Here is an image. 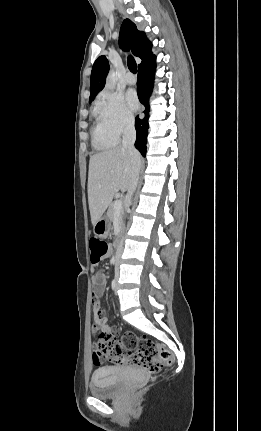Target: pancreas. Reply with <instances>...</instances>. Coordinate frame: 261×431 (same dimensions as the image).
<instances>
[{
    "label": "pancreas",
    "mask_w": 261,
    "mask_h": 431,
    "mask_svg": "<svg viewBox=\"0 0 261 431\" xmlns=\"http://www.w3.org/2000/svg\"><path fill=\"white\" fill-rule=\"evenodd\" d=\"M114 204H115V202H112V203L109 205V208H108V211H107V217L109 218V220H110L111 222H113V221H114L115 216H116V211H115V209H114ZM123 213H124V211H123V209L121 208V209L118 211V214H117V216H118V221H119V223H120V224H121V222H122Z\"/></svg>",
    "instance_id": "pancreas-1"
}]
</instances>
